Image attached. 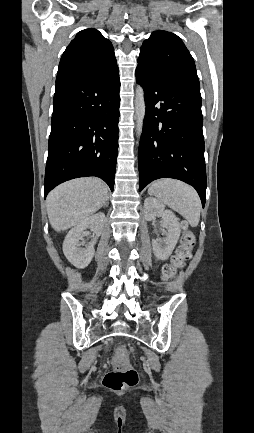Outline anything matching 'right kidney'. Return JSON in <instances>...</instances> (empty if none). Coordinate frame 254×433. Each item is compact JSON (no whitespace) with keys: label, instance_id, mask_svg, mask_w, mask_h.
<instances>
[{"label":"right kidney","instance_id":"obj_1","mask_svg":"<svg viewBox=\"0 0 254 433\" xmlns=\"http://www.w3.org/2000/svg\"><path fill=\"white\" fill-rule=\"evenodd\" d=\"M105 220L104 213L94 214L74 226L66 235L63 242V252L75 267L83 269L91 262L95 253L94 245L101 235ZM88 228L93 231L95 237L86 244L83 237L86 234L85 230Z\"/></svg>","mask_w":254,"mask_h":433}]
</instances>
